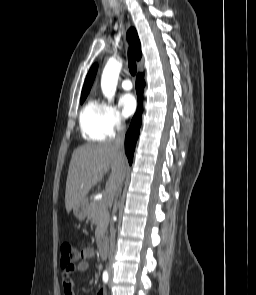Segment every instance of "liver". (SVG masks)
I'll return each mask as SVG.
<instances>
[{"label": "liver", "instance_id": "1", "mask_svg": "<svg viewBox=\"0 0 256 295\" xmlns=\"http://www.w3.org/2000/svg\"><path fill=\"white\" fill-rule=\"evenodd\" d=\"M110 169L106 192L113 195L126 173V158L123 151L110 142L86 144L74 150L65 190L67 213L86 202V195L91 187L96 185Z\"/></svg>", "mask_w": 256, "mask_h": 295}]
</instances>
